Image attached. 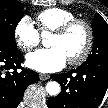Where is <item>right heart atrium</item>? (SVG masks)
<instances>
[{
  "instance_id": "right-heart-atrium-1",
  "label": "right heart atrium",
  "mask_w": 108,
  "mask_h": 108,
  "mask_svg": "<svg viewBox=\"0 0 108 108\" xmlns=\"http://www.w3.org/2000/svg\"><path fill=\"white\" fill-rule=\"evenodd\" d=\"M16 45L23 51H30L39 45L41 37L37 28L28 17L21 18L14 28Z\"/></svg>"
}]
</instances>
